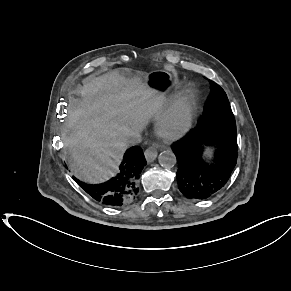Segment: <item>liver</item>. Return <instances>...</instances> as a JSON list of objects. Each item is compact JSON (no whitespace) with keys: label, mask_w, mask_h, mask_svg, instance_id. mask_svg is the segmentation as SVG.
<instances>
[{"label":"liver","mask_w":291,"mask_h":291,"mask_svg":"<svg viewBox=\"0 0 291 291\" xmlns=\"http://www.w3.org/2000/svg\"><path fill=\"white\" fill-rule=\"evenodd\" d=\"M146 75L115 69L88 78L80 88L63 137L70 168L80 180L96 184L113 176L127 148L126 135L143 130L161 110L164 98L146 85Z\"/></svg>","instance_id":"obj_1"}]
</instances>
